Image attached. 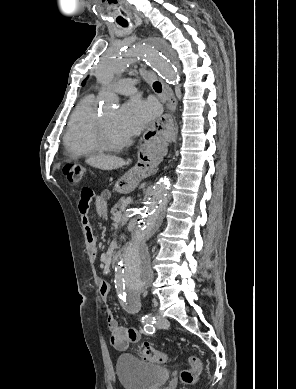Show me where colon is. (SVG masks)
Returning a JSON list of instances; mask_svg holds the SVG:
<instances>
[{
    "label": "colon",
    "mask_w": 296,
    "mask_h": 389,
    "mask_svg": "<svg viewBox=\"0 0 296 389\" xmlns=\"http://www.w3.org/2000/svg\"><path fill=\"white\" fill-rule=\"evenodd\" d=\"M63 173L67 182L71 186L77 187L81 184L83 180L85 169L82 165L73 162L68 163L64 166ZM90 195V193L87 194V197H89ZM139 355L143 360L149 362L166 363L168 361V356L166 353L156 350L150 346H145L140 351ZM188 363L190 365V368L182 370L180 374V379L185 385L193 384L202 370L201 361L196 356H190L188 358Z\"/></svg>",
    "instance_id": "5ec220e1"
}]
</instances>
